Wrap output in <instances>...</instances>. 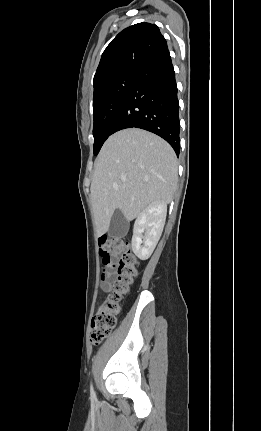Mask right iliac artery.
Listing matches in <instances>:
<instances>
[{
    "label": "right iliac artery",
    "mask_w": 261,
    "mask_h": 431,
    "mask_svg": "<svg viewBox=\"0 0 261 431\" xmlns=\"http://www.w3.org/2000/svg\"><path fill=\"white\" fill-rule=\"evenodd\" d=\"M91 398L94 400V399H96V395H95V392H94V389H93V386L91 385Z\"/></svg>",
    "instance_id": "82829eb1"
}]
</instances>
